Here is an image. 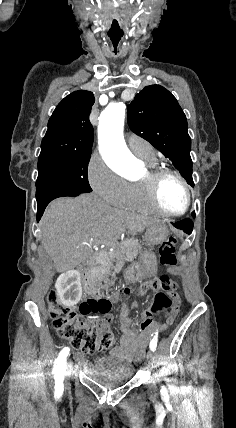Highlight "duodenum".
Wrapping results in <instances>:
<instances>
[{"mask_svg":"<svg viewBox=\"0 0 236 428\" xmlns=\"http://www.w3.org/2000/svg\"><path fill=\"white\" fill-rule=\"evenodd\" d=\"M79 274L86 291L104 296V291L96 284L90 272V262L85 261L79 266Z\"/></svg>","mask_w":236,"mask_h":428,"instance_id":"obj_1","label":"duodenum"}]
</instances>
